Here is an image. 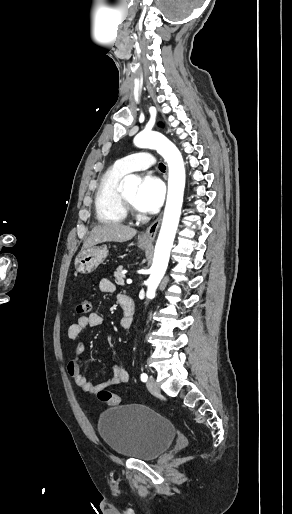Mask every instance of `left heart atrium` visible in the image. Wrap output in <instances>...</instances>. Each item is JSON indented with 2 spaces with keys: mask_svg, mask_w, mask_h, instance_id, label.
I'll list each match as a JSON object with an SVG mask.
<instances>
[{
  "mask_svg": "<svg viewBox=\"0 0 292 514\" xmlns=\"http://www.w3.org/2000/svg\"><path fill=\"white\" fill-rule=\"evenodd\" d=\"M164 193V185L160 178L151 174L145 175L137 190L135 204L146 213H154L161 206Z\"/></svg>",
  "mask_w": 292,
  "mask_h": 514,
  "instance_id": "obj_1",
  "label": "left heart atrium"
}]
</instances>
